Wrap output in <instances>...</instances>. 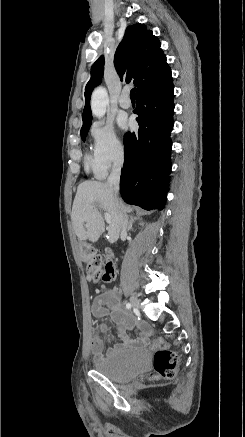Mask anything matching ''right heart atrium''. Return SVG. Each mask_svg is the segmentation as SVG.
I'll return each instance as SVG.
<instances>
[{"label": "right heart atrium", "instance_id": "1", "mask_svg": "<svg viewBox=\"0 0 245 437\" xmlns=\"http://www.w3.org/2000/svg\"><path fill=\"white\" fill-rule=\"evenodd\" d=\"M92 140L91 160L95 174L103 178L124 159L125 148L110 123L95 122L90 128Z\"/></svg>", "mask_w": 245, "mask_h": 437}]
</instances>
